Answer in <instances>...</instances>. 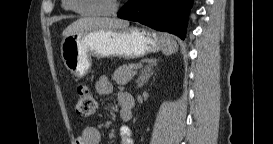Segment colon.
Masks as SVG:
<instances>
[{"label":"colon","mask_w":273,"mask_h":144,"mask_svg":"<svg viewBox=\"0 0 273 144\" xmlns=\"http://www.w3.org/2000/svg\"><path fill=\"white\" fill-rule=\"evenodd\" d=\"M97 100L94 91L86 85L77 88L76 112L81 118H86L95 113Z\"/></svg>","instance_id":"obj_1"}]
</instances>
